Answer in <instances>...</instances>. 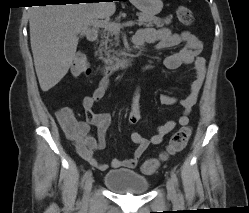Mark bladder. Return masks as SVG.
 I'll use <instances>...</instances> for the list:
<instances>
[{
    "label": "bladder",
    "instance_id": "31cf9c89",
    "mask_svg": "<svg viewBox=\"0 0 249 213\" xmlns=\"http://www.w3.org/2000/svg\"><path fill=\"white\" fill-rule=\"evenodd\" d=\"M106 188L117 194H145L150 189L149 180L130 169H115L109 171L103 179Z\"/></svg>",
    "mask_w": 249,
    "mask_h": 213
}]
</instances>
